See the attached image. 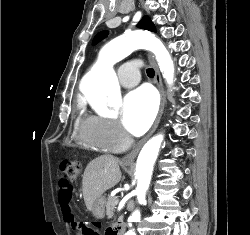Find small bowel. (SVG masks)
Instances as JSON below:
<instances>
[{"instance_id":"c3829d8e","label":"small bowel","mask_w":250,"mask_h":235,"mask_svg":"<svg viewBox=\"0 0 250 235\" xmlns=\"http://www.w3.org/2000/svg\"><path fill=\"white\" fill-rule=\"evenodd\" d=\"M71 195H72L71 191L59 190V192H58V205H59L64 217L67 213H69ZM91 232L96 235L95 232H93V231H91ZM80 235H81V233H80Z\"/></svg>"}]
</instances>
